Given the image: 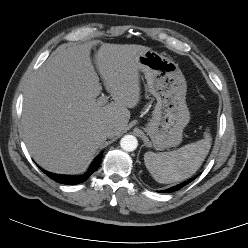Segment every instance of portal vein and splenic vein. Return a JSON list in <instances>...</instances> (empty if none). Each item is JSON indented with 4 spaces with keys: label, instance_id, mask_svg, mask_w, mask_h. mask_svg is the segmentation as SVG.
Returning <instances> with one entry per match:
<instances>
[{
    "label": "portal vein and splenic vein",
    "instance_id": "1",
    "mask_svg": "<svg viewBox=\"0 0 248 248\" xmlns=\"http://www.w3.org/2000/svg\"><path fill=\"white\" fill-rule=\"evenodd\" d=\"M107 100H108V97H107V96L102 95L101 97H99V99H98V103H99L100 105H104V104H106V103H107Z\"/></svg>",
    "mask_w": 248,
    "mask_h": 248
}]
</instances>
